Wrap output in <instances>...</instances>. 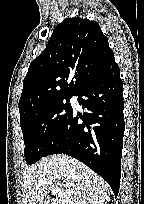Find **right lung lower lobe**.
Returning <instances> with one entry per match:
<instances>
[{
	"label": "right lung lower lobe",
	"instance_id": "98d812e1",
	"mask_svg": "<svg viewBox=\"0 0 144 204\" xmlns=\"http://www.w3.org/2000/svg\"><path fill=\"white\" fill-rule=\"evenodd\" d=\"M75 95L88 111L84 115L72 111L45 156L60 153L80 160L104 178L117 197L125 123L123 84L115 60Z\"/></svg>",
	"mask_w": 144,
	"mask_h": 204
}]
</instances>
